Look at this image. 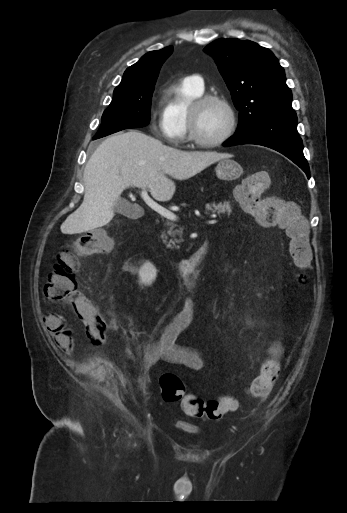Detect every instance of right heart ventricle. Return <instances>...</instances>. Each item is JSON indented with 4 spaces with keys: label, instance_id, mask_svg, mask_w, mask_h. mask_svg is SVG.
I'll use <instances>...</instances> for the list:
<instances>
[{
    "label": "right heart ventricle",
    "instance_id": "1",
    "mask_svg": "<svg viewBox=\"0 0 347 513\" xmlns=\"http://www.w3.org/2000/svg\"><path fill=\"white\" fill-rule=\"evenodd\" d=\"M203 94L187 79L167 86L162 116L165 118L171 141L184 142L188 138L187 113L190 103Z\"/></svg>",
    "mask_w": 347,
    "mask_h": 513
}]
</instances>
